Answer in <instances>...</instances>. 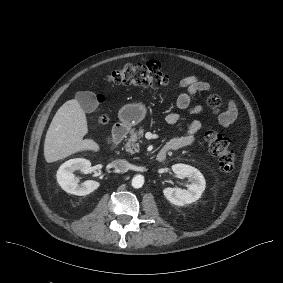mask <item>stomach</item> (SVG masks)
Wrapping results in <instances>:
<instances>
[{
	"label": "stomach",
	"mask_w": 283,
	"mask_h": 283,
	"mask_svg": "<svg viewBox=\"0 0 283 283\" xmlns=\"http://www.w3.org/2000/svg\"><path fill=\"white\" fill-rule=\"evenodd\" d=\"M118 117L124 125L131 127L141 122L145 113L138 104H128L124 106L123 111H119Z\"/></svg>",
	"instance_id": "obj_1"
}]
</instances>
